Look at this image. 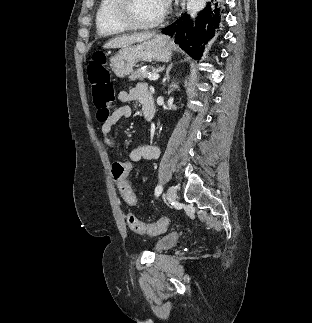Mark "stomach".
I'll list each match as a JSON object with an SVG mask.
<instances>
[{"label":"stomach","mask_w":312,"mask_h":323,"mask_svg":"<svg viewBox=\"0 0 312 323\" xmlns=\"http://www.w3.org/2000/svg\"><path fill=\"white\" fill-rule=\"evenodd\" d=\"M172 56L169 36H154L142 44H129L116 52L111 58V68L117 78H125L133 72L137 62H170Z\"/></svg>","instance_id":"0dacf381"}]
</instances>
